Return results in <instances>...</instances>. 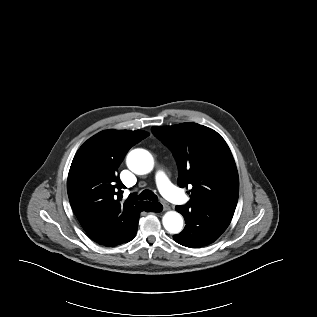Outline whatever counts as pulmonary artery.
Instances as JSON below:
<instances>
[{
    "mask_svg": "<svg viewBox=\"0 0 317 317\" xmlns=\"http://www.w3.org/2000/svg\"><path fill=\"white\" fill-rule=\"evenodd\" d=\"M156 183L161 193L169 200L177 203L186 202L187 198L169 180L163 171L156 173Z\"/></svg>",
    "mask_w": 317,
    "mask_h": 317,
    "instance_id": "1",
    "label": "pulmonary artery"
}]
</instances>
